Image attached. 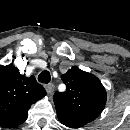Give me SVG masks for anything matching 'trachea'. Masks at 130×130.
Wrapping results in <instances>:
<instances>
[{"label": "trachea", "mask_w": 130, "mask_h": 130, "mask_svg": "<svg viewBox=\"0 0 130 130\" xmlns=\"http://www.w3.org/2000/svg\"><path fill=\"white\" fill-rule=\"evenodd\" d=\"M51 80V76H50V73L48 71H43L39 74L38 76V81L41 82V83H49Z\"/></svg>", "instance_id": "3493384b"}]
</instances>
